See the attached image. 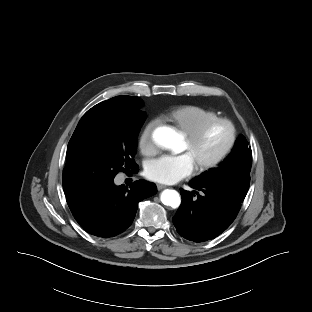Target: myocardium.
Here are the masks:
<instances>
[{"instance_id":"obj_1","label":"myocardium","mask_w":312,"mask_h":312,"mask_svg":"<svg viewBox=\"0 0 312 312\" xmlns=\"http://www.w3.org/2000/svg\"><path fill=\"white\" fill-rule=\"evenodd\" d=\"M217 124H224L229 128V140L225 148L214 158L203 162L197 166H195V170L197 172H205L208 171L216 166H218L220 163H222L228 155L232 152L236 141H237V128L235 123L226 117H216L209 121H207L205 124H203L201 127H199L197 130L185 134V140L189 147H193L197 142H199L215 125Z\"/></svg>"}]
</instances>
